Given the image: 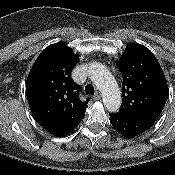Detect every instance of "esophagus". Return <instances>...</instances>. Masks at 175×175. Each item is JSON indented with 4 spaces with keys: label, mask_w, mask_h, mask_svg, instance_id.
<instances>
[{
    "label": "esophagus",
    "mask_w": 175,
    "mask_h": 175,
    "mask_svg": "<svg viewBox=\"0 0 175 175\" xmlns=\"http://www.w3.org/2000/svg\"><path fill=\"white\" fill-rule=\"evenodd\" d=\"M101 96H102L101 92L100 91H97L95 93V95L93 96V99L94 100H99V99H101Z\"/></svg>",
    "instance_id": "1"
}]
</instances>
